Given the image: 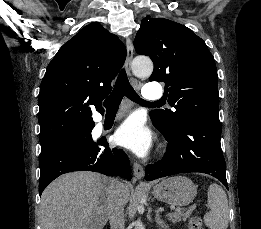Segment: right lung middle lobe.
I'll list each match as a JSON object with an SVG mask.
<instances>
[{"label":"right lung middle lobe","mask_w":261,"mask_h":229,"mask_svg":"<svg viewBox=\"0 0 261 229\" xmlns=\"http://www.w3.org/2000/svg\"><path fill=\"white\" fill-rule=\"evenodd\" d=\"M46 139H47V137H43V138L40 137L41 154L51 150L52 148H54V147H50V146H48L44 143V142H46ZM74 139H85V140H88V141H92V136H91V133L89 131V132L78 135L77 137L73 138L72 140H74Z\"/></svg>","instance_id":"obj_1"}]
</instances>
